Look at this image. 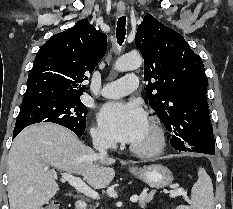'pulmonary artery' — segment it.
I'll return each mask as SVG.
<instances>
[{"label":"pulmonary artery","mask_w":233,"mask_h":209,"mask_svg":"<svg viewBox=\"0 0 233 209\" xmlns=\"http://www.w3.org/2000/svg\"><path fill=\"white\" fill-rule=\"evenodd\" d=\"M139 79L137 75L130 74L120 79L105 84L101 94L104 97L116 98L130 94L138 88Z\"/></svg>","instance_id":"obj_1"}]
</instances>
